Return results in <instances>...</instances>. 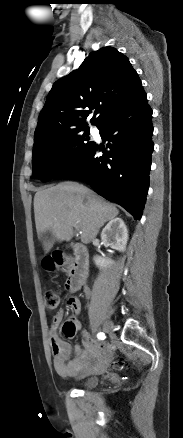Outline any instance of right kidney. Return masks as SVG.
<instances>
[{"label":"right kidney","mask_w":183,"mask_h":438,"mask_svg":"<svg viewBox=\"0 0 183 438\" xmlns=\"http://www.w3.org/2000/svg\"><path fill=\"white\" fill-rule=\"evenodd\" d=\"M102 242L113 249L123 252L128 241V230L121 218L112 219L101 232ZM94 262L99 268H107L113 261L101 256H94Z\"/></svg>","instance_id":"1"}]
</instances>
